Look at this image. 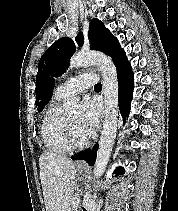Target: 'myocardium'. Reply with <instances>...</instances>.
<instances>
[{
    "mask_svg": "<svg viewBox=\"0 0 178 211\" xmlns=\"http://www.w3.org/2000/svg\"><path fill=\"white\" fill-rule=\"evenodd\" d=\"M92 137L89 135L87 139L81 143H78L73 135V131L71 125L67 118L64 120V142L66 146L74 151V150H81L87 147L91 143Z\"/></svg>",
    "mask_w": 178,
    "mask_h": 211,
    "instance_id": "1",
    "label": "myocardium"
}]
</instances>
